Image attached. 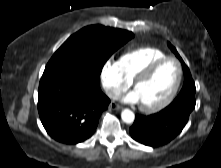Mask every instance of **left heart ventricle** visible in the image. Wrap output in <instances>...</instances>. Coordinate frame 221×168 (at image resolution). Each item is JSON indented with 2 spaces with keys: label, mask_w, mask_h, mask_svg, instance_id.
<instances>
[{
  "label": "left heart ventricle",
  "mask_w": 221,
  "mask_h": 168,
  "mask_svg": "<svg viewBox=\"0 0 221 168\" xmlns=\"http://www.w3.org/2000/svg\"><path fill=\"white\" fill-rule=\"evenodd\" d=\"M177 77V64L173 61H167L160 65L149 78L139 83L134 92L142 105H154L170 93Z\"/></svg>",
  "instance_id": "obj_1"
}]
</instances>
